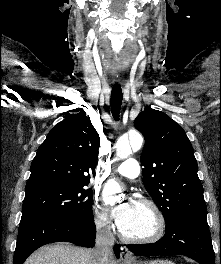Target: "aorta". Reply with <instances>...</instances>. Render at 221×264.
Returning <instances> with one entry per match:
<instances>
[{"mask_svg":"<svg viewBox=\"0 0 221 264\" xmlns=\"http://www.w3.org/2000/svg\"><path fill=\"white\" fill-rule=\"evenodd\" d=\"M143 137L139 133H133L130 135L129 140L127 138H121L116 144V156L118 158H127L133 151H137L142 147ZM121 191L120 185L114 180H108L104 187L105 195H112Z\"/></svg>","mask_w":221,"mask_h":264,"instance_id":"obj_1","label":"aorta"}]
</instances>
